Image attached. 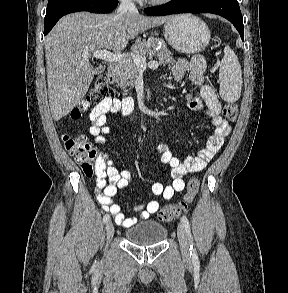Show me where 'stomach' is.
<instances>
[{
  "instance_id": "obj_1",
  "label": "stomach",
  "mask_w": 288,
  "mask_h": 293,
  "mask_svg": "<svg viewBox=\"0 0 288 293\" xmlns=\"http://www.w3.org/2000/svg\"><path fill=\"white\" fill-rule=\"evenodd\" d=\"M163 34L175 50L185 54L201 52L210 41V30L206 23L190 14L170 17L164 23Z\"/></svg>"
}]
</instances>
